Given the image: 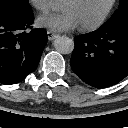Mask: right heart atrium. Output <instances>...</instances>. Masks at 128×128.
Instances as JSON below:
<instances>
[{
	"instance_id": "1",
	"label": "right heart atrium",
	"mask_w": 128,
	"mask_h": 128,
	"mask_svg": "<svg viewBox=\"0 0 128 128\" xmlns=\"http://www.w3.org/2000/svg\"><path fill=\"white\" fill-rule=\"evenodd\" d=\"M30 4L40 12H46L51 8L52 0H29Z\"/></svg>"
}]
</instances>
